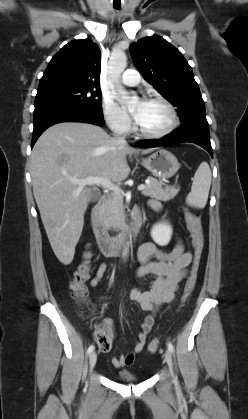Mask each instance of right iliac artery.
I'll list each match as a JSON object with an SVG mask.
<instances>
[{
    "mask_svg": "<svg viewBox=\"0 0 248 419\" xmlns=\"http://www.w3.org/2000/svg\"><path fill=\"white\" fill-rule=\"evenodd\" d=\"M93 350H94V346L93 345H90L89 348H88V350H87V353L88 354H91V352H93Z\"/></svg>",
    "mask_w": 248,
    "mask_h": 419,
    "instance_id": "82829eb1",
    "label": "right iliac artery"
}]
</instances>
